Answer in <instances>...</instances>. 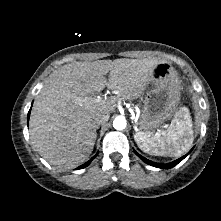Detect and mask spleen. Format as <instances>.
Listing matches in <instances>:
<instances>
[{
    "label": "spleen",
    "instance_id": "1",
    "mask_svg": "<svg viewBox=\"0 0 221 221\" xmlns=\"http://www.w3.org/2000/svg\"><path fill=\"white\" fill-rule=\"evenodd\" d=\"M192 119L185 107L175 113L169 128L161 135L150 131L134 135L138 147L145 153L158 156H181L194 140Z\"/></svg>",
    "mask_w": 221,
    "mask_h": 221
}]
</instances>
